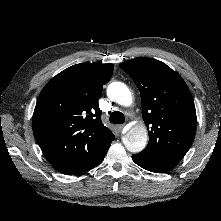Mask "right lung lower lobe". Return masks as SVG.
<instances>
[{"label":"right lung lower lobe","mask_w":221,"mask_h":221,"mask_svg":"<svg viewBox=\"0 0 221 221\" xmlns=\"http://www.w3.org/2000/svg\"><path fill=\"white\" fill-rule=\"evenodd\" d=\"M104 159V157L102 158V159H100L99 161H97L94 165H92L90 168H88L87 170H90V169H92V168H94V167H96L97 165H99L101 162H102V160ZM86 170V171H87ZM85 172V171H84Z\"/></svg>","instance_id":"98d812e1"}]
</instances>
